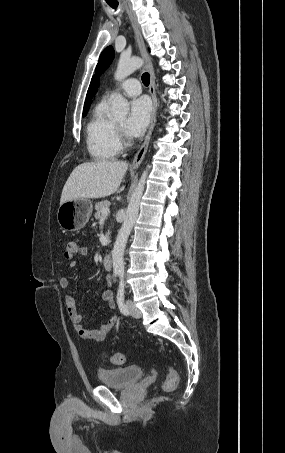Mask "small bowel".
I'll list each match as a JSON object with an SVG mask.
<instances>
[{
    "instance_id": "small-bowel-1",
    "label": "small bowel",
    "mask_w": 285,
    "mask_h": 453,
    "mask_svg": "<svg viewBox=\"0 0 285 453\" xmlns=\"http://www.w3.org/2000/svg\"><path fill=\"white\" fill-rule=\"evenodd\" d=\"M79 254L86 256L88 254V249L86 247H81ZM77 263L75 261L70 262L69 267L75 268ZM106 283L108 286L111 285V277L106 276ZM59 285L62 289L67 290L70 288L71 282L68 278L63 277L59 281ZM101 298L105 301L110 309H115L116 304L113 299V294L111 290H105L101 293ZM66 310L71 322L74 325V328L78 335L85 340H94V341H103L107 334L112 330V328L118 322V316L112 315L106 323L101 325L97 329L86 328L83 324L84 315L80 313L76 308V303L73 297L66 296L64 299Z\"/></svg>"
}]
</instances>
